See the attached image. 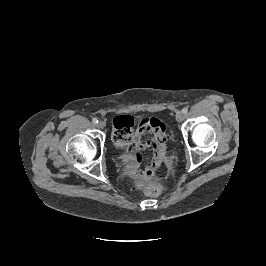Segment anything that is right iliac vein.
<instances>
[{
	"label": "right iliac vein",
	"instance_id": "right-iliac-vein-1",
	"mask_svg": "<svg viewBox=\"0 0 266 266\" xmlns=\"http://www.w3.org/2000/svg\"><path fill=\"white\" fill-rule=\"evenodd\" d=\"M97 126L101 129H103L105 127V123L103 121H99Z\"/></svg>",
	"mask_w": 266,
	"mask_h": 266
}]
</instances>
